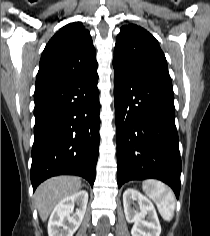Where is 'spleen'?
Segmentation results:
<instances>
[{
  "instance_id": "obj_1",
  "label": "spleen",
  "mask_w": 210,
  "mask_h": 236,
  "mask_svg": "<svg viewBox=\"0 0 210 236\" xmlns=\"http://www.w3.org/2000/svg\"><path fill=\"white\" fill-rule=\"evenodd\" d=\"M143 191L157 205L158 211L165 221H171L175 210V195L161 181L149 179L143 182Z\"/></svg>"
}]
</instances>
